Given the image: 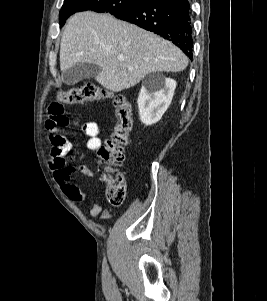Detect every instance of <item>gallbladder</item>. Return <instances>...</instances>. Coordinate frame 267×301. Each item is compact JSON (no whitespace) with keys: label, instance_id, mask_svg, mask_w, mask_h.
Returning a JSON list of instances; mask_svg holds the SVG:
<instances>
[{"label":"gallbladder","instance_id":"gallbladder-1","mask_svg":"<svg viewBox=\"0 0 267 301\" xmlns=\"http://www.w3.org/2000/svg\"><path fill=\"white\" fill-rule=\"evenodd\" d=\"M101 72V68L93 63H77L69 69L62 72V81L73 86L76 83L89 78L96 77Z\"/></svg>","mask_w":267,"mask_h":301}]
</instances>
